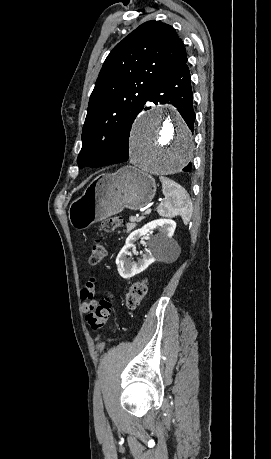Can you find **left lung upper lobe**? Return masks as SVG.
I'll use <instances>...</instances> for the list:
<instances>
[{"label": "left lung upper lobe", "instance_id": "5c2ea615", "mask_svg": "<svg viewBox=\"0 0 271 459\" xmlns=\"http://www.w3.org/2000/svg\"><path fill=\"white\" fill-rule=\"evenodd\" d=\"M187 62L172 26L148 21L106 58L90 96L78 166L100 167L129 152V133L151 93Z\"/></svg>", "mask_w": 271, "mask_h": 459}]
</instances>
